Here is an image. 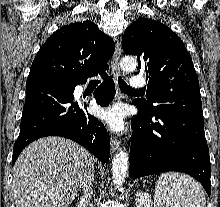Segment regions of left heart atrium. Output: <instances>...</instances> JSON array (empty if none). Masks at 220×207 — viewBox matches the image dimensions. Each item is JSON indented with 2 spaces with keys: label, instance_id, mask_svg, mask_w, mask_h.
I'll list each match as a JSON object with an SVG mask.
<instances>
[{
  "label": "left heart atrium",
  "instance_id": "obj_1",
  "mask_svg": "<svg viewBox=\"0 0 220 207\" xmlns=\"http://www.w3.org/2000/svg\"><path fill=\"white\" fill-rule=\"evenodd\" d=\"M100 118L113 131L119 132L124 128V121H123L124 115L122 109L119 107H113L101 111Z\"/></svg>",
  "mask_w": 220,
  "mask_h": 207
}]
</instances>
